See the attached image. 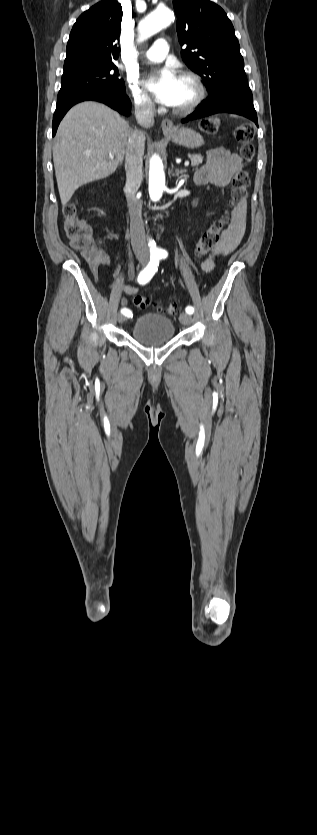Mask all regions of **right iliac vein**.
<instances>
[{
  "mask_svg": "<svg viewBox=\"0 0 317 835\" xmlns=\"http://www.w3.org/2000/svg\"><path fill=\"white\" fill-rule=\"evenodd\" d=\"M145 263V261H143ZM117 320L119 323H123L125 321V316L121 313L117 315Z\"/></svg>",
  "mask_w": 317,
  "mask_h": 835,
  "instance_id": "right-iliac-vein-1",
  "label": "right iliac vein"
}]
</instances>
